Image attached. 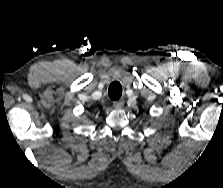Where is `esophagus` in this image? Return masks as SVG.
Here are the masks:
<instances>
[{
  "label": "esophagus",
  "mask_w": 223,
  "mask_h": 188,
  "mask_svg": "<svg viewBox=\"0 0 223 188\" xmlns=\"http://www.w3.org/2000/svg\"><path fill=\"white\" fill-rule=\"evenodd\" d=\"M123 105H124V100L122 99L113 102V106L115 108H122Z\"/></svg>",
  "instance_id": "1"
}]
</instances>
